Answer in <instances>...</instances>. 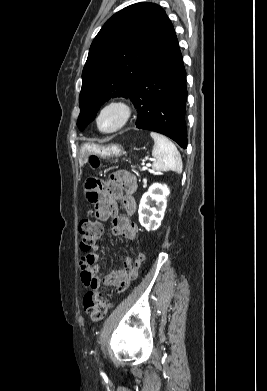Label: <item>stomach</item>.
I'll return each instance as SVG.
<instances>
[{
  "instance_id": "stomach-1",
  "label": "stomach",
  "mask_w": 267,
  "mask_h": 391,
  "mask_svg": "<svg viewBox=\"0 0 267 391\" xmlns=\"http://www.w3.org/2000/svg\"><path fill=\"white\" fill-rule=\"evenodd\" d=\"M124 153L123 148L119 144L99 145V144H84L80 149V166L87 163L88 158L92 154L101 156L102 158L119 157Z\"/></svg>"
}]
</instances>
